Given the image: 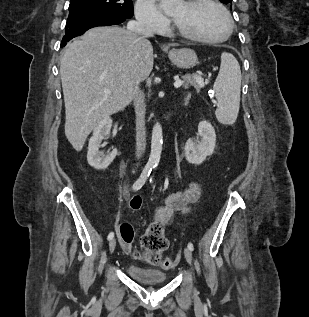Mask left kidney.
<instances>
[{"label":"left kidney","instance_id":"1","mask_svg":"<svg viewBox=\"0 0 309 317\" xmlns=\"http://www.w3.org/2000/svg\"><path fill=\"white\" fill-rule=\"evenodd\" d=\"M216 146V133L214 127L207 121L198 125L197 139H189L184 146L186 160L200 165L206 157L212 155Z\"/></svg>","mask_w":309,"mask_h":317}]
</instances>
